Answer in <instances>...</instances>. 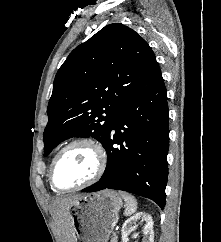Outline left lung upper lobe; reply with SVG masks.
Masks as SVG:
<instances>
[{
    "label": "left lung upper lobe",
    "instance_id": "5c2ea615",
    "mask_svg": "<svg viewBox=\"0 0 221 242\" xmlns=\"http://www.w3.org/2000/svg\"><path fill=\"white\" fill-rule=\"evenodd\" d=\"M158 70L147 42L119 23L76 47L55 76L44 156L70 137L92 136L104 145L117 113Z\"/></svg>",
    "mask_w": 221,
    "mask_h": 242
}]
</instances>
